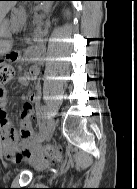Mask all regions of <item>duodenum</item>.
I'll use <instances>...</instances> for the list:
<instances>
[{"label": "duodenum", "mask_w": 137, "mask_h": 189, "mask_svg": "<svg viewBox=\"0 0 137 189\" xmlns=\"http://www.w3.org/2000/svg\"><path fill=\"white\" fill-rule=\"evenodd\" d=\"M31 53L33 56L37 57L39 55V49L37 47H32Z\"/></svg>", "instance_id": "obj_1"}]
</instances>
